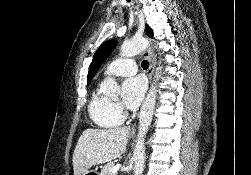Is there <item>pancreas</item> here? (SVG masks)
Masks as SVG:
<instances>
[{"label": "pancreas", "mask_w": 251, "mask_h": 175, "mask_svg": "<svg viewBox=\"0 0 251 175\" xmlns=\"http://www.w3.org/2000/svg\"><path fill=\"white\" fill-rule=\"evenodd\" d=\"M113 167H114L113 161H109V163L103 165L99 175H115V173H112Z\"/></svg>", "instance_id": "1"}]
</instances>
